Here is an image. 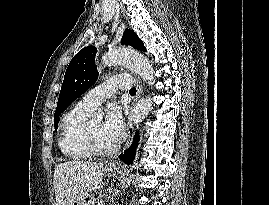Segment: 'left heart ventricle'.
Instances as JSON below:
<instances>
[{
    "label": "left heart ventricle",
    "mask_w": 269,
    "mask_h": 205,
    "mask_svg": "<svg viewBox=\"0 0 269 205\" xmlns=\"http://www.w3.org/2000/svg\"><path fill=\"white\" fill-rule=\"evenodd\" d=\"M89 129L92 133V135L94 136V138L96 139L97 143L103 147V148H110L112 146H114L113 143H111L110 141H108L103 133H102V122H95L93 124L89 125Z\"/></svg>",
    "instance_id": "obj_1"
}]
</instances>
